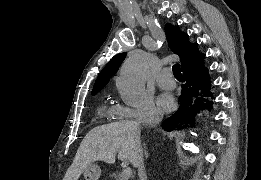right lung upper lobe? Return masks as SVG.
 Returning <instances> with one entry per match:
<instances>
[{
  "label": "right lung upper lobe",
  "instance_id": "cb5924a9",
  "mask_svg": "<svg viewBox=\"0 0 261 180\" xmlns=\"http://www.w3.org/2000/svg\"><path fill=\"white\" fill-rule=\"evenodd\" d=\"M165 33L168 46L175 54L180 56L182 71L204 61L205 55L199 52L198 44L189 42L188 35L183 34L178 26L166 24ZM125 57L126 53H120L108 62L94 84L92 95L97 94L107 84Z\"/></svg>",
  "mask_w": 261,
  "mask_h": 180
}]
</instances>
